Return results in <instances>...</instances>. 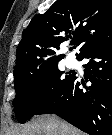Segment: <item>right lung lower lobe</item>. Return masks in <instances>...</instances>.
Here are the masks:
<instances>
[{
	"mask_svg": "<svg viewBox=\"0 0 112 135\" xmlns=\"http://www.w3.org/2000/svg\"><path fill=\"white\" fill-rule=\"evenodd\" d=\"M86 81L80 89L73 74L60 94L37 113L56 114L90 135H112V43L85 53Z\"/></svg>",
	"mask_w": 112,
	"mask_h": 135,
	"instance_id": "98d812e1",
	"label": "right lung lower lobe"
}]
</instances>
